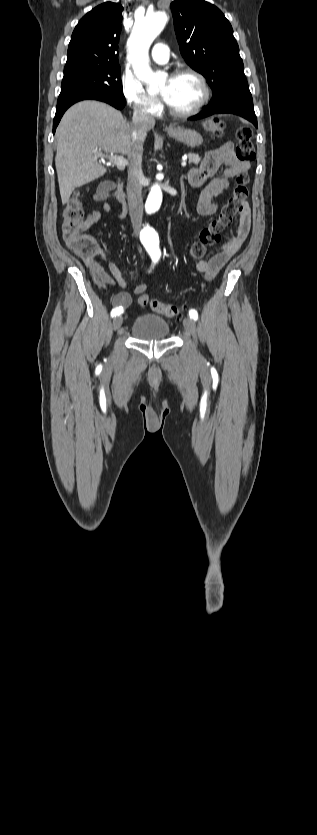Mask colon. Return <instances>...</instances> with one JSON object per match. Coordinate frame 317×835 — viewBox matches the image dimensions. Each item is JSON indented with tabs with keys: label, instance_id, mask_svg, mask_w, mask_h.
I'll use <instances>...</instances> for the list:
<instances>
[{
	"label": "colon",
	"instance_id": "colon-1",
	"mask_svg": "<svg viewBox=\"0 0 317 835\" xmlns=\"http://www.w3.org/2000/svg\"><path fill=\"white\" fill-rule=\"evenodd\" d=\"M205 131L214 137L222 135L224 123L216 118L209 119L204 124ZM236 156L242 161L250 162L255 159V148L252 142V132L248 127H242L236 132ZM249 177L246 172L236 176L233 192L222 207L220 213L204 227L199 240L192 244L189 255L193 260L204 257L207 250L219 242L221 233L228 228L236 215L243 209L249 196ZM62 229L69 247L82 258L91 257L97 250L94 239L88 234L83 220L82 199L78 192L73 193L62 210ZM140 306H149L155 313L175 318L182 314V309L174 304L164 303L158 299H151L147 294L138 297Z\"/></svg>",
	"mask_w": 317,
	"mask_h": 835
}]
</instances>
